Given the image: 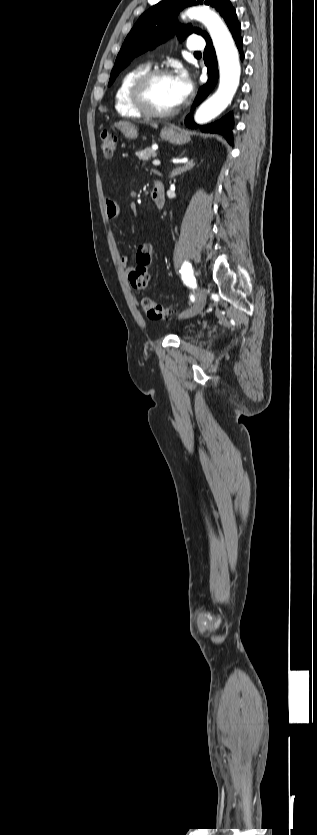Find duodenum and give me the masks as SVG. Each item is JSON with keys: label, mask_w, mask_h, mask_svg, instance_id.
I'll use <instances>...</instances> for the list:
<instances>
[{"label": "duodenum", "mask_w": 317, "mask_h": 835, "mask_svg": "<svg viewBox=\"0 0 317 835\" xmlns=\"http://www.w3.org/2000/svg\"><path fill=\"white\" fill-rule=\"evenodd\" d=\"M151 199L158 209H162L165 203V193L162 183L157 182L151 190Z\"/></svg>", "instance_id": "1"}]
</instances>
